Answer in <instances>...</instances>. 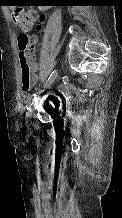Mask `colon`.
<instances>
[{"instance_id": "1", "label": "colon", "mask_w": 122, "mask_h": 218, "mask_svg": "<svg viewBox=\"0 0 122 218\" xmlns=\"http://www.w3.org/2000/svg\"><path fill=\"white\" fill-rule=\"evenodd\" d=\"M12 19L21 31V35L18 39L20 81L22 90L28 91L33 85L30 59L34 47V40L29 35V32L34 27L39 28L44 17H39L37 13L33 11L15 9L12 11Z\"/></svg>"}]
</instances>
